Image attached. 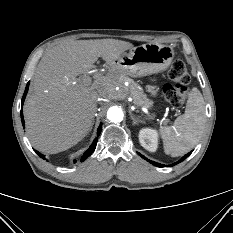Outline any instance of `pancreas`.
<instances>
[{"label": "pancreas", "mask_w": 233, "mask_h": 233, "mask_svg": "<svg viewBox=\"0 0 233 233\" xmlns=\"http://www.w3.org/2000/svg\"><path fill=\"white\" fill-rule=\"evenodd\" d=\"M116 79L121 82H128V88L130 91V95L133 98V103L137 106H144L146 108H150L153 105L152 100H150L147 95L144 93L143 88L135 83L132 79L126 77L122 73H118L116 75Z\"/></svg>", "instance_id": "obj_1"}]
</instances>
